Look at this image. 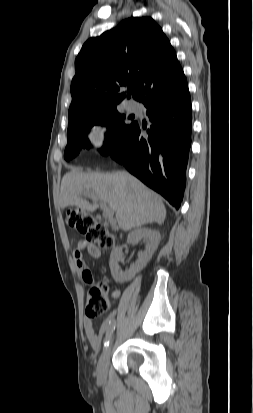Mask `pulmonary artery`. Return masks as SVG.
I'll return each mask as SVG.
<instances>
[{
    "mask_svg": "<svg viewBox=\"0 0 253 413\" xmlns=\"http://www.w3.org/2000/svg\"><path fill=\"white\" fill-rule=\"evenodd\" d=\"M127 109L129 111L134 112L138 109V104L136 102L130 101V102L127 103Z\"/></svg>",
    "mask_w": 253,
    "mask_h": 413,
    "instance_id": "pulmonary-artery-1",
    "label": "pulmonary artery"
}]
</instances>
